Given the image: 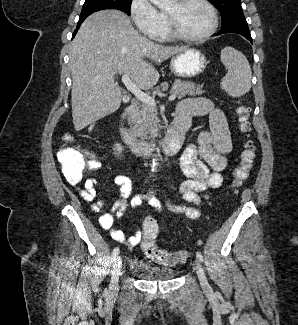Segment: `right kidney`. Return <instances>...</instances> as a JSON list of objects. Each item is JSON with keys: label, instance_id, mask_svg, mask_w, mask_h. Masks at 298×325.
<instances>
[{"label": "right kidney", "instance_id": "1", "mask_svg": "<svg viewBox=\"0 0 298 325\" xmlns=\"http://www.w3.org/2000/svg\"><path fill=\"white\" fill-rule=\"evenodd\" d=\"M113 150H115L114 154H121L122 150H124L122 144H119V142H117V144H114L113 146Z\"/></svg>", "mask_w": 298, "mask_h": 325}]
</instances>
